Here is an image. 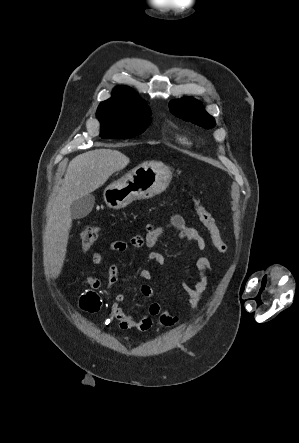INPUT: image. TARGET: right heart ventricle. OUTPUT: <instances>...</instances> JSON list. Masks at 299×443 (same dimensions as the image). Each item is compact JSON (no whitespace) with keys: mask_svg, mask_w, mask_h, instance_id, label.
<instances>
[{"mask_svg":"<svg viewBox=\"0 0 299 443\" xmlns=\"http://www.w3.org/2000/svg\"><path fill=\"white\" fill-rule=\"evenodd\" d=\"M176 140L178 143H180L182 145H190V141L188 140V138L183 135L177 134Z\"/></svg>","mask_w":299,"mask_h":443,"instance_id":"right-heart-ventricle-1","label":"right heart ventricle"}]
</instances>
